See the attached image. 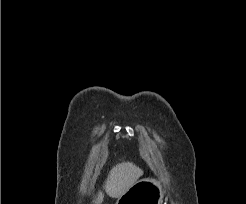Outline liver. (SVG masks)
Listing matches in <instances>:
<instances>
[{
	"instance_id": "6515ba94",
	"label": "liver",
	"mask_w": 246,
	"mask_h": 204,
	"mask_svg": "<svg viewBox=\"0 0 246 204\" xmlns=\"http://www.w3.org/2000/svg\"><path fill=\"white\" fill-rule=\"evenodd\" d=\"M143 175L142 169L132 162H122L114 166L105 182L106 193L112 198H119ZM104 195L102 192L94 199L95 204H102Z\"/></svg>"
}]
</instances>
